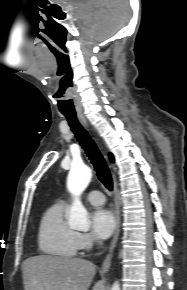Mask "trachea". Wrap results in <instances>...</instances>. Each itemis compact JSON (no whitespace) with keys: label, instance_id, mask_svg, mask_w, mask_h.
Returning a JSON list of instances; mask_svg holds the SVG:
<instances>
[{"label":"trachea","instance_id":"3493384b","mask_svg":"<svg viewBox=\"0 0 187 290\" xmlns=\"http://www.w3.org/2000/svg\"><path fill=\"white\" fill-rule=\"evenodd\" d=\"M63 115L66 117L71 130L93 164L98 179L108 190L112 191L113 180L110 170L95 142L79 123L76 113H63Z\"/></svg>","mask_w":187,"mask_h":290}]
</instances>
